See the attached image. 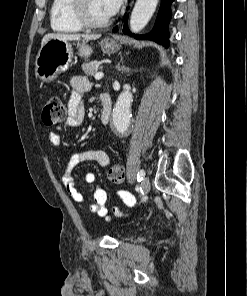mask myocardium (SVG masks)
<instances>
[{
  "label": "myocardium",
  "mask_w": 247,
  "mask_h": 296,
  "mask_svg": "<svg viewBox=\"0 0 247 296\" xmlns=\"http://www.w3.org/2000/svg\"><path fill=\"white\" fill-rule=\"evenodd\" d=\"M87 0H72L71 15L74 21L86 29H99L107 27L111 23V19L108 18L102 22L91 21L86 12Z\"/></svg>",
  "instance_id": "myocardium-1"
}]
</instances>
